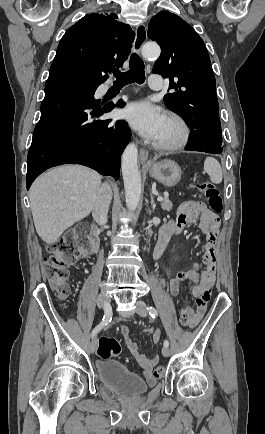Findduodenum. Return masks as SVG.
I'll use <instances>...</instances> for the list:
<instances>
[{
    "label": "duodenum",
    "mask_w": 265,
    "mask_h": 434,
    "mask_svg": "<svg viewBox=\"0 0 265 434\" xmlns=\"http://www.w3.org/2000/svg\"><path fill=\"white\" fill-rule=\"evenodd\" d=\"M90 229H98V227L97 226H92ZM99 248H100V244H99ZM165 248H166L165 241H163L161 239L157 240V243H156V245L154 247V250H153V257L155 259L160 258V256L163 254Z\"/></svg>",
    "instance_id": "410a0bca"
}]
</instances>
